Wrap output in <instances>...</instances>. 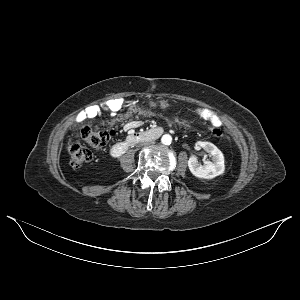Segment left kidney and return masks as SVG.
<instances>
[{"label": "left kidney", "mask_w": 300, "mask_h": 300, "mask_svg": "<svg viewBox=\"0 0 300 300\" xmlns=\"http://www.w3.org/2000/svg\"><path fill=\"white\" fill-rule=\"evenodd\" d=\"M196 147H201L208 152L212 156V161L206 160L203 164H199L197 157L192 155L188 160V167L195 177L213 179L224 173V155L214 144L199 141Z\"/></svg>", "instance_id": "left-kidney-1"}]
</instances>
